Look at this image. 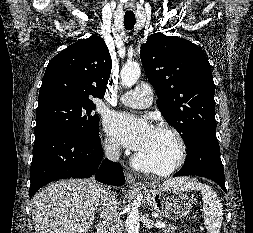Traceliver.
I'll return each instance as SVG.
<instances>
[{
    "mask_svg": "<svg viewBox=\"0 0 253 233\" xmlns=\"http://www.w3.org/2000/svg\"><path fill=\"white\" fill-rule=\"evenodd\" d=\"M102 189L94 179L61 180L43 188L32 199L35 233H87Z\"/></svg>",
    "mask_w": 253,
    "mask_h": 233,
    "instance_id": "6515ba94",
    "label": "liver"
}]
</instances>
